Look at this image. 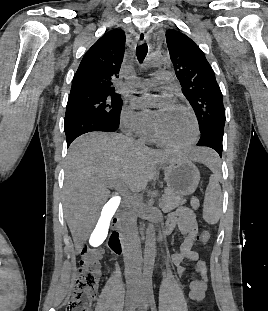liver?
I'll return each instance as SVG.
<instances>
[{
    "mask_svg": "<svg viewBox=\"0 0 268 311\" xmlns=\"http://www.w3.org/2000/svg\"><path fill=\"white\" fill-rule=\"evenodd\" d=\"M180 157L117 133L91 132L74 140L67 154L63 192L65 218L77 252L94 230L112 183L122 184L125 191H142L159 175L157 165L162 168ZM206 157L207 150L199 148L189 159L205 163Z\"/></svg>",
    "mask_w": 268,
    "mask_h": 311,
    "instance_id": "1",
    "label": "liver"
}]
</instances>
